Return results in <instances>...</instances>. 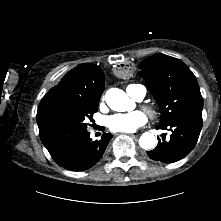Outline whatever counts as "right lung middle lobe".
<instances>
[{"instance_id": "right-lung-middle-lobe-1", "label": "right lung middle lobe", "mask_w": 221, "mask_h": 221, "mask_svg": "<svg viewBox=\"0 0 221 221\" xmlns=\"http://www.w3.org/2000/svg\"><path fill=\"white\" fill-rule=\"evenodd\" d=\"M97 106L98 102L90 105L54 102L38 109L39 134L49 153L62 149L86 134L88 119L93 120Z\"/></svg>"}]
</instances>
